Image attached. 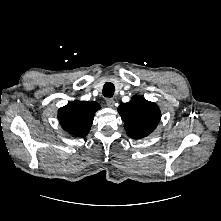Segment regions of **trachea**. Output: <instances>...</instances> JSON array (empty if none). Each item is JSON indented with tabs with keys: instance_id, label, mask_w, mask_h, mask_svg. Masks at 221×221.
Segmentation results:
<instances>
[{
	"instance_id": "obj_1",
	"label": "trachea",
	"mask_w": 221,
	"mask_h": 221,
	"mask_svg": "<svg viewBox=\"0 0 221 221\" xmlns=\"http://www.w3.org/2000/svg\"><path fill=\"white\" fill-rule=\"evenodd\" d=\"M114 85L110 82L106 83L104 86H103V95L105 97H112L114 95Z\"/></svg>"
}]
</instances>
